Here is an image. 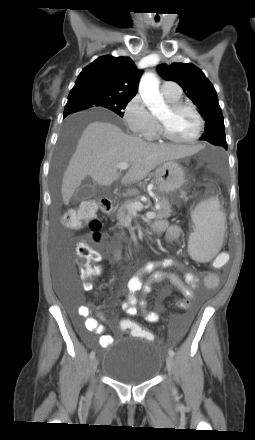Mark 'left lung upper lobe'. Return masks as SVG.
<instances>
[{
	"instance_id": "left-lung-upper-lobe-1",
	"label": "left lung upper lobe",
	"mask_w": 255,
	"mask_h": 440,
	"mask_svg": "<svg viewBox=\"0 0 255 440\" xmlns=\"http://www.w3.org/2000/svg\"><path fill=\"white\" fill-rule=\"evenodd\" d=\"M157 70L165 80L177 82L198 107L199 113L206 121L205 134L200 140L221 145L227 149L224 119L217 94L204 73L190 63L162 64Z\"/></svg>"
}]
</instances>
